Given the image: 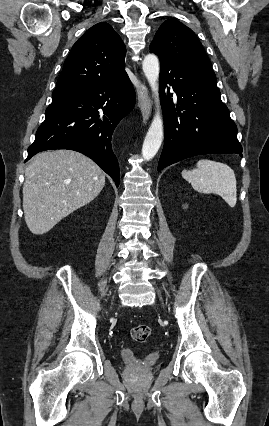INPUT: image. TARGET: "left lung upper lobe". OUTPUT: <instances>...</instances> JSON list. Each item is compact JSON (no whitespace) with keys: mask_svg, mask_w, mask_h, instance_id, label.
Instances as JSON below:
<instances>
[{"mask_svg":"<svg viewBox=\"0 0 269 426\" xmlns=\"http://www.w3.org/2000/svg\"><path fill=\"white\" fill-rule=\"evenodd\" d=\"M159 59L175 61L215 76L209 58L195 33L175 19L162 23L150 45Z\"/></svg>","mask_w":269,"mask_h":426,"instance_id":"1","label":"left lung upper lobe"}]
</instances>
